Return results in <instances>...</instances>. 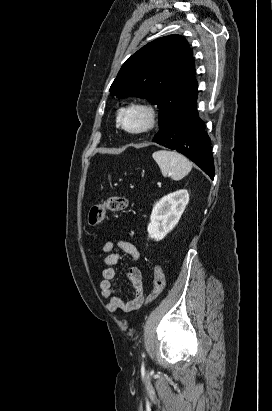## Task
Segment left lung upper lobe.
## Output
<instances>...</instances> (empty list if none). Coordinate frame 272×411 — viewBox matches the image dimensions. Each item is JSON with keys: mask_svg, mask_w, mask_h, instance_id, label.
<instances>
[{"mask_svg": "<svg viewBox=\"0 0 272 411\" xmlns=\"http://www.w3.org/2000/svg\"><path fill=\"white\" fill-rule=\"evenodd\" d=\"M188 42L180 35L158 38L127 59L110 93L146 98L159 108L160 129L197 94L195 66Z\"/></svg>", "mask_w": 272, "mask_h": 411, "instance_id": "left-lung-upper-lobe-1", "label": "left lung upper lobe"}]
</instances>
